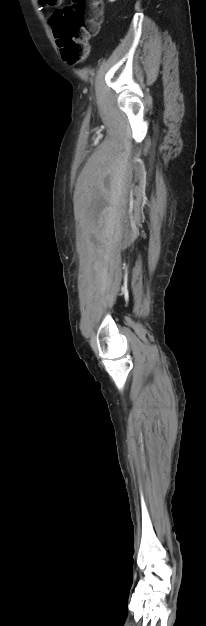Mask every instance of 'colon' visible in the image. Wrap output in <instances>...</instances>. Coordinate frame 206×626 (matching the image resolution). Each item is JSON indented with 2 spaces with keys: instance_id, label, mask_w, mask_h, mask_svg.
I'll use <instances>...</instances> for the list:
<instances>
[{
  "instance_id": "5ec220e1",
  "label": "colon",
  "mask_w": 206,
  "mask_h": 626,
  "mask_svg": "<svg viewBox=\"0 0 206 626\" xmlns=\"http://www.w3.org/2000/svg\"><path fill=\"white\" fill-rule=\"evenodd\" d=\"M62 0H43L59 5ZM102 22L101 0H72L71 4L52 16V30L63 59L77 63L86 53V43L96 34Z\"/></svg>"
}]
</instances>
